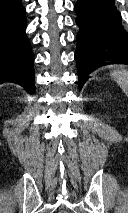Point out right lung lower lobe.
<instances>
[{"instance_id":"right-lung-lower-lobe-1","label":"right lung lower lobe","mask_w":128,"mask_h":213,"mask_svg":"<svg viewBox=\"0 0 128 213\" xmlns=\"http://www.w3.org/2000/svg\"><path fill=\"white\" fill-rule=\"evenodd\" d=\"M25 13L21 0H0V84L14 82L34 93V55L25 34Z\"/></svg>"}]
</instances>
